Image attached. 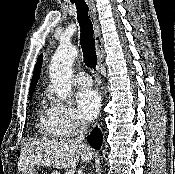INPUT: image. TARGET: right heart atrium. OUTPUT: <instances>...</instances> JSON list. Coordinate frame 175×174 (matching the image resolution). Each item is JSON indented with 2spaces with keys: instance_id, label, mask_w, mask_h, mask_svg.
Listing matches in <instances>:
<instances>
[{
  "instance_id": "d8ad5b80",
  "label": "right heart atrium",
  "mask_w": 175,
  "mask_h": 174,
  "mask_svg": "<svg viewBox=\"0 0 175 174\" xmlns=\"http://www.w3.org/2000/svg\"><path fill=\"white\" fill-rule=\"evenodd\" d=\"M50 117L62 136H73L85 126V122L73 107L56 98L51 99Z\"/></svg>"
}]
</instances>
